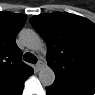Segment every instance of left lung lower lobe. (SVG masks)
Here are the masks:
<instances>
[{"label": "left lung lower lobe", "instance_id": "left-lung-lower-lobe-1", "mask_svg": "<svg viewBox=\"0 0 95 95\" xmlns=\"http://www.w3.org/2000/svg\"><path fill=\"white\" fill-rule=\"evenodd\" d=\"M95 87L72 80L55 81L46 88L47 95H93Z\"/></svg>", "mask_w": 95, "mask_h": 95}]
</instances>
